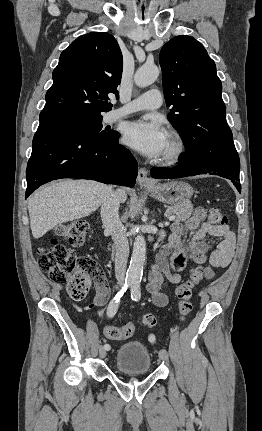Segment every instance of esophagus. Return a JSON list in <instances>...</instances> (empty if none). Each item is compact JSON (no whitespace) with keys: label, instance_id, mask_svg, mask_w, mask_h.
Masks as SVG:
<instances>
[{"label":"esophagus","instance_id":"34e87169","mask_svg":"<svg viewBox=\"0 0 262 431\" xmlns=\"http://www.w3.org/2000/svg\"><path fill=\"white\" fill-rule=\"evenodd\" d=\"M137 182L140 186H152L153 181L148 177V171L141 167L138 171Z\"/></svg>","mask_w":262,"mask_h":431}]
</instances>
